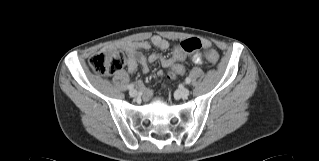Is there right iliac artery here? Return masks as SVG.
<instances>
[{
    "label": "right iliac artery",
    "instance_id": "obj_1",
    "mask_svg": "<svg viewBox=\"0 0 319 161\" xmlns=\"http://www.w3.org/2000/svg\"><path fill=\"white\" fill-rule=\"evenodd\" d=\"M128 89H129V90L134 89V85H133V84L128 85Z\"/></svg>",
    "mask_w": 319,
    "mask_h": 161
}]
</instances>
